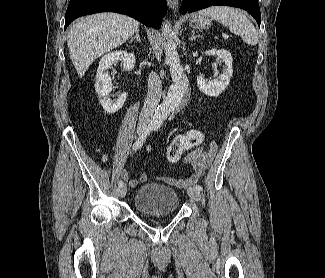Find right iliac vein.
Instances as JSON below:
<instances>
[{
	"instance_id": "right-iliac-vein-1",
	"label": "right iliac vein",
	"mask_w": 325,
	"mask_h": 278,
	"mask_svg": "<svg viewBox=\"0 0 325 278\" xmlns=\"http://www.w3.org/2000/svg\"><path fill=\"white\" fill-rule=\"evenodd\" d=\"M142 131H143V128H139V129H138V132H139V133H142ZM126 192H127V188H126L125 185L119 186L118 189H117V193H118V195H119L120 197H122V198L126 195Z\"/></svg>"
}]
</instances>
